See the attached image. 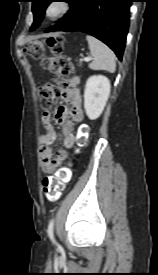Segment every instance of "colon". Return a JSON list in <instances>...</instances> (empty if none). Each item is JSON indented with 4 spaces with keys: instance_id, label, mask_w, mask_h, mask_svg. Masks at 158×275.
<instances>
[{
    "instance_id": "colon-1",
    "label": "colon",
    "mask_w": 158,
    "mask_h": 275,
    "mask_svg": "<svg viewBox=\"0 0 158 275\" xmlns=\"http://www.w3.org/2000/svg\"><path fill=\"white\" fill-rule=\"evenodd\" d=\"M25 50L33 59L41 60L42 67L49 73L57 76L62 81L73 73L71 61L61 56L63 51V38L60 36H49L43 39H36L27 43ZM45 50L50 51L53 56H44ZM65 88L63 82L59 84H46L40 88V104L42 108L49 109L56 99L62 94ZM87 128L82 127L80 142L86 140ZM71 170L60 168L54 174L47 175L42 180V191L50 201L60 198L66 184L70 181Z\"/></svg>"
}]
</instances>
